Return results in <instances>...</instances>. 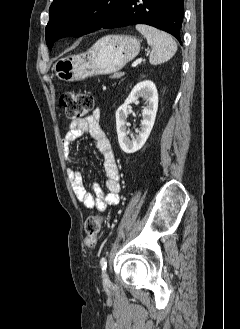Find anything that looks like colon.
<instances>
[{"mask_svg":"<svg viewBox=\"0 0 240 329\" xmlns=\"http://www.w3.org/2000/svg\"><path fill=\"white\" fill-rule=\"evenodd\" d=\"M61 105L65 108L69 119H79L94 107L93 95L78 91H67L60 98ZM103 218L101 216H89L85 222V245L92 248L96 245Z\"/></svg>","mask_w":240,"mask_h":329,"instance_id":"colon-1","label":"colon"}]
</instances>
